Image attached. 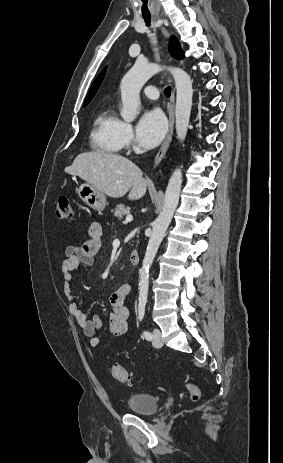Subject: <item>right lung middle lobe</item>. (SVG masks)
<instances>
[{"instance_id":"dd1d6c3e","label":"right lung middle lobe","mask_w":283,"mask_h":463,"mask_svg":"<svg viewBox=\"0 0 283 463\" xmlns=\"http://www.w3.org/2000/svg\"><path fill=\"white\" fill-rule=\"evenodd\" d=\"M88 103H84V106H86Z\"/></svg>"}]
</instances>
